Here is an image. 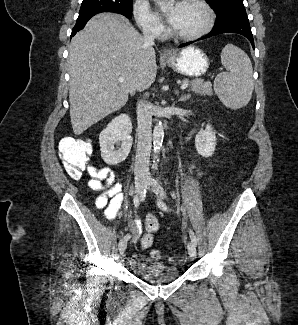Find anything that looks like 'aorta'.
<instances>
[{
	"label": "aorta",
	"mask_w": 298,
	"mask_h": 325,
	"mask_svg": "<svg viewBox=\"0 0 298 325\" xmlns=\"http://www.w3.org/2000/svg\"><path fill=\"white\" fill-rule=\"evenodd\" d=\"M155 2H158L160 6H163V8H168V6H173L175 4V0H155ZM163 136H164V128L163 124L161 122H158L156 126H154L153 130V150H154V158H153V169H156L158 165V152H160V148L162 146L163 142Z\"/></svg>",
	"instance_id": "obj_1"
}]
</instances>
